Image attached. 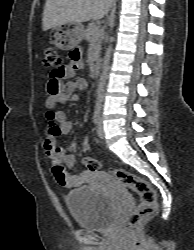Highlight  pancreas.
Segmentation results:
<instances>
[{"mask_svg": "<svg viewBox=\"0 0 194 250\" xmlns=\"http://www.w3.org/2000/svg\"><path fill=\"white\" fill-rule=\"evenodd\" d=\"M103 37V30L99 29L95 24L89 23L84 31V38L94 44V59L99 56L101 48V40Z\"/></svg>", "mask_w": 194, "mask_h": 250, "instance_id": "obj_1", "label": "pancreas"}]
</instances>
